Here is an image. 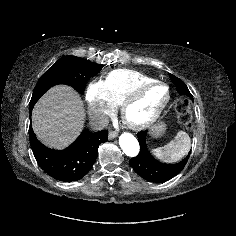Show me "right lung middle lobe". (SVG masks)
<instances>
[{
	"instance_id": "dd1d6c3e",
	"label": "right lung middle lobe",
	"mask_w": 236,
	"mask_h": 236,
	"mask_svg": "<svg viewBox=\"0 0 236 236\" xmlns=\"http://www.w3.org/2000/svg\"><path fill=\"white\" fill-rule=\"evenodd\" d=\"M102 67L101 64L75 56L60 58L40 77L29 107L33 106L48 89L58 84L69 85L79 93H83L89 78L100 72Z\"/></svg>"
}]
</instances>
